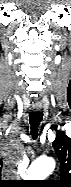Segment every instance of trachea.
<instances>
[{"instance_id": "1", "label": "trachea", "mask_w": 71, "mask_h": 187, "mask_svg": "<svg viewBox=\"0 0 71 187\" xmlns=\"http://www.w3.org/2000/svg\"><path fill=\"white\" fill-rule=\"evenodd\" d=\"M42 119H43L42 112H32L29 114V122L31 125V135L33 139H37L38 137V127Z\"/></svg>"}]
</instances>
